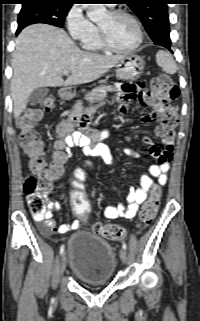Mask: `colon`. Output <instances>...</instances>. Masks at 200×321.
<instances>
[{
  "label": "colon",
  "mask_w": 200,
  "mask_h": 321,
  "mask_svg": "<svg viewBox=\"0 0 200 321\" xmlns=\"http://www.w3.org/2000/svg\"><path fill=\"white\" fill-rule=\"evenodd\" d=\"M142 96H134L141 102L147 104L167 105L175 100L179 95L177 86L166 75L155 76L147 90H143ZM44 110L51 111L55 107V100L48 96L42 101ZM122 110L124 108L122 107ZM38 110H30L18 121L20 131V145L30 157L29 168L31 176H28L24 182V191L27 195L28 206L31 214L35 218L43 217L47 213L46 197L52 189L53 182L61 174V166L55 159L49 161L43 151V145L37 129V123L40 119ZM72 120L80 127L85 128L88 117L85 114H75ZM177 117L170 109L162 122V136L167 140H173V130L177 125ZM65 124L63 126H67ZM168 157L172 158V152L168 150ZM78 180L71 182L72 191L70 193V206L74 216H77L78 222H87L90 211V202L84 187L86 177L83 173H77ZM159 209V195L155 190L153 195L143 204L139 213V227H146L152 223ZM96 232L102 234L109 240L119 241L123 239L127 232L124 228L114 224H101L99 222L93 225Z\"/></svg>",
  "instance_id": "obj_1"
}]
</instances>
